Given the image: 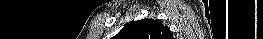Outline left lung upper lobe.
<instances>
[{
  "instance_id": "1",
  "label": "left lung upper lobe",
  "mask_w": 263,
  "mask_h": 39,
  "mask_svg": "<svg viewBox=\"0 0 263 39\" xmlns=\"http://www.w3.org/2000/svg\"><path fill=\"white\" fill-rule=\"evenodd\" d=\"M115 39H173V35L162 22L147 18L124 26Z\"/></svg>"
}]
</instances>
